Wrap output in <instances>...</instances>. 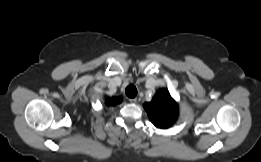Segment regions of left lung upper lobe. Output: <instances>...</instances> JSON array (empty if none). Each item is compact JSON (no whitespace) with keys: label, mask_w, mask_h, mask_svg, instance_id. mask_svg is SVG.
<instances>
[{"label":"left lung upper lobe","mask_w":261,"mask_h":162,"mask_svg":"<svg viewBox=\"0 0 261 162\" xmlns=\"http://www.w3.org/2000/svg\"><path fill=\"white\" fill-rule=\"evenodd\" d=\"M144 108L152 123L158 128H169L178 118V105L167 89L159 90L151 102L144 104Z\"/></svg>","instance_id":"obj_1"}]
</instances>
